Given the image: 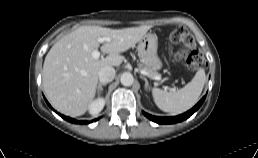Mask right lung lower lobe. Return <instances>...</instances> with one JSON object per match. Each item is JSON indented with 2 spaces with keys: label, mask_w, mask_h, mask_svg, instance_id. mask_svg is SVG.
Returning <instances> with one entry per match:
<instances>
[{
  "label": "right lung lower lobe",
  "mask_w": 258,
  "mask_h": 158,
  "mask_svg": "<svg viewBox=\"0 0 258 158\" xmlns=\"http://www.w3.org/2000/svg\"><path fill=\"white\" fill-rule=\"evenodd\" d=\"M45 101H46V103L50 106V104L48 103V101L45 99ZM60 116L63 118V119H65V120H67V121H69V122H71V123H80V124H82V123H84V124H86V123H90V122H87V121H77V120H75V119H73V118H69V117H67V116H64V115H61L60 114ZM93 121H96V119L95 120H92L91 122H93Z\"/></svg>",
  "instance_id": "98d812e1"
}]
</instances>
